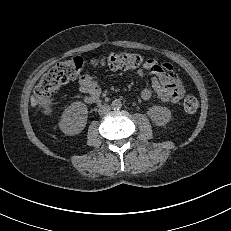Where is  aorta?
<instances>
[{"instance_id": "aorta-1", "label": "aorta", "mask_w": 231, "mask_h": 231, "mask_svg": "<svg viewBox=\"0 0 231 231\" xmlns=\"http://www.w3.org/2000/svg\"><path fill=\"white\" fill-rule=\"evenodd\" d=\"M111 106L114 110H119L121 108L122 104L119 100H114L112 102Z\"/></svg>"}]
</instances>
